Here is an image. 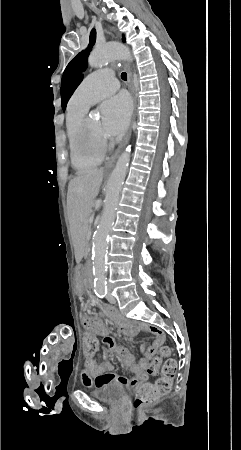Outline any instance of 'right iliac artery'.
<instances>
[{
  "mask_svg": "<svg viewBox=\"0 0 241 450\" xmlns=\"http://www.w3.org/2000/svg\"><path fill=\"white\" fill-rule=\"evenodd\" d=\"M107 294V287L106 286H100L99 288L96 289V295L99 298H104Z\"/></svg>",
  "mask_w": 241,
  "mask_h": 450,
  "instance_id": "right-iliac-artery-1",
  "label": "right iliac artery"
}]
</instances>
